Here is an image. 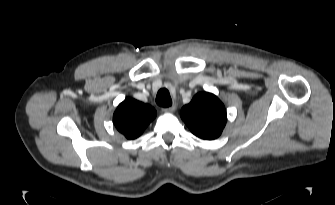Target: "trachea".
<instances>
[{
    "instance_id": "3493384b",
    "label": "trachea",
    "mask_w": 335,
    "mask_h": 205,
    "mask_svg": "<svg viewBox=\"0 0 335 205\" xmlns=\"http://www.w3.org/2000/svg\"><path fill=\"white\" fill-rule=\"evenodd\" d=\"M156 103L162 107H170L172 105V99L167 89L162 88L158 91Z\"/></svg>"
}]
</instances>
